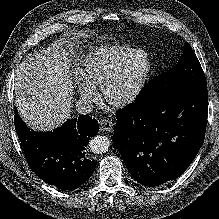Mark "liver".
<instances>
[{
    "mask_svg": "<svg viewBox=\"0 0 219 219\" xmlns=\"http://www.w3.org/2000/svg\"><path fill=\"white\" fill-rule=\"evenodd\" d=\"M73 46L70 41L58 40L47 50L29 53L16 70L15 103L33 130L51 131L70 117L73 87L69 57L74 54Z\"/></svg>",
    "mask_w": 219,
    "mask_h": 219,
    "instance_id": "1",
    "label": "liver"
}]
</instances>
